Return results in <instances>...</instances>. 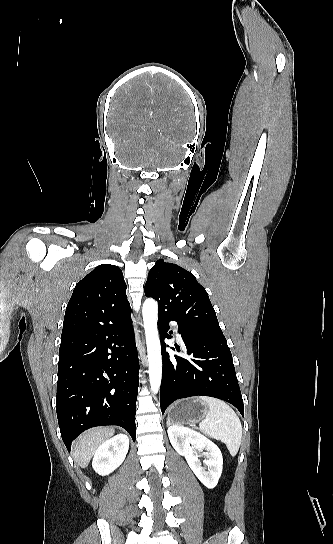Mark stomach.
<instances>
[{
    "label": "stomach",
    "instance_id": "obj_1",
    "mask_svg": "<svg viewBox=\"0 0 333 544\" xmlns=\"http://www.w3.org/2000/svg\"><path fill=\"white\" fill-rule=\"evenodd\" d=\"M209 407L199 400L192 398L176 402L168 412V419L175 424H193L203 419Z\"/></svg>",
    "mask_w": 333,
    "mask_h": 544
}]
</instances>
